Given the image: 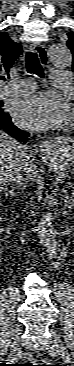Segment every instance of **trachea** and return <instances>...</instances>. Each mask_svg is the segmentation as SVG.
Returning a JSON list of instances; mask_svg holds the SVG:
<instances>
[{"mask_svg": "<svg viewBox=\"0 0 74 366\" xmlns=\"http://www.w3.org/2000/svg\"><path fill=\"white\" fill-rule=\"evenodd\" d=\"M26 71L29 74H35L40 78H44V70L40 65L37 54L33 51H28L25 57Z\"/></svg>", "mask_w": 74, "mask_h": 366, "instance_id": "trachea-1", "label": "trachea"}]
</instances>
